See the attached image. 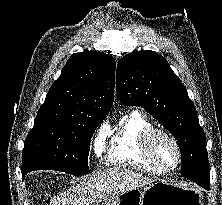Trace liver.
Segmentation results:
<instances>
[{
    "mask_svg": "<svg viewBox=\"0 0 222 205\" xmlns=\"http://www.w3.org/2000/svg\"><path fill=\"white\" fill-rule=\"evenodd\" d=\"M155 179L132 170L115 167L96 172L53 198L51 205H94L144 185Z\"/></svg>",
    "mask_w": 222,
    "mask_h": 205,
    "instance_id": "1",
    "label": "liver"
}]
</instances>
